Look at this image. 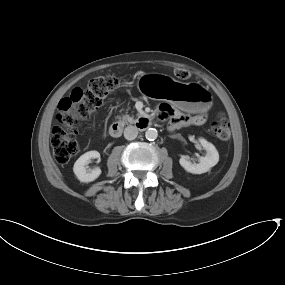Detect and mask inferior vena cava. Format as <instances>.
<instances>
[{"label":"inferior vena cava","mask_w":285,"mask_h":285,"mask_svg":"<svg viewBox=\"0 0 285 285\" xmlns=\"http://www.w3.org/2000/svg\"><path fill=\"white\" fill-rule=\"evenodd\" d=\"M138 135V129L135 126L129 125L124 130V137L127 140H134Z\"/></svg>","instance_id":"1"}]
</instances>
